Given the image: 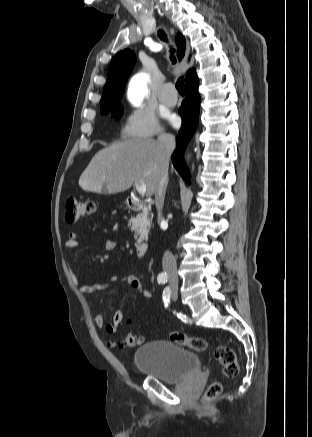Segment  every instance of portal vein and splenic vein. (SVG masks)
Segmentation results:
<instances>
[{
	"mask_svg": "<svg viewBox=\"0 0 312 437\" xmlns=\"http://www.w3.org/2000/svg\"><path fill=\"white\" fill-rule=\"evenodd\" d=\"M135 187L139 194L144 195L146 193V185L143 181H135Z\"/></svg>",
	"mask_w": 312,
	"mask_h": 437,
	"instance_id": "18ae733b",
	"label": "portal vein and splenic vein"
}]
</instances>
